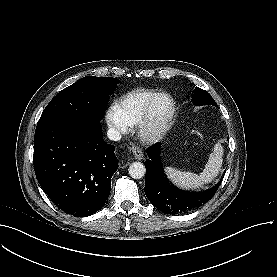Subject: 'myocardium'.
Wrapping results in <instances>:
<instances>
[{
  "label": "myocardium",
  "mask_w": 277,
  "mask_h": 277,
  "mask_svg": "<svg viewBox=\"0 0 277 277\" xmlns=\"http://www.w3.org/2000/svg\"><path fill=\"white\" fill-rule=\"evenodd\" d=\"M165 99L169 103V109L164 117H157L154 109L159 99ZM175 102L166 93H156L149 101L145 113L138 123L137 134L145 143H154L163 137L169 129L175 114Z\"/></svg>",
  "instance_id": "myocardium-1"
}]
</instances>
